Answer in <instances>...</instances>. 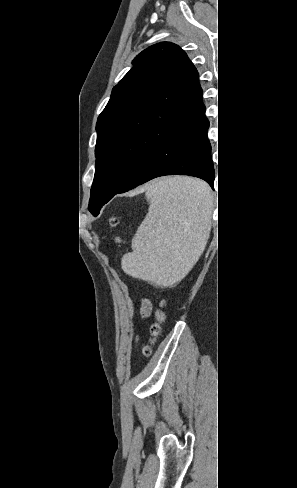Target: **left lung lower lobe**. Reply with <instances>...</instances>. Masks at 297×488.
<instances>
[{
	"mask_svg": "<svg viewBox=\"0 0 297 488\" xmlns=\"http://www.w3.org/2000/svg\"><path fill=\"white\" fill-rule=\"evenodd\" d=\"M208 127L204 109L168 137L117 193L126 192L156 177L172 174L195 176L214 188L215 171L207 138Z\"/></svg>",
	"mask_w": 297,
	"mask_h": 488,
	"instance_id": "1",
	"label": "left lung lower lobe"
}]
</instances>
